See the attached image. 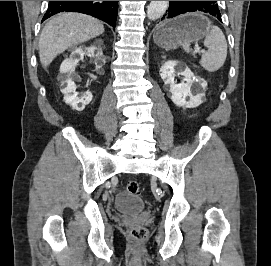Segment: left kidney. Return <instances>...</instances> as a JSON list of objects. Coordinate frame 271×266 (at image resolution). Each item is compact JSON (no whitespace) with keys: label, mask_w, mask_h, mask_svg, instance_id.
<instances>
[{"label":"left kidney","mask_w":271,"mask_h":266,"mask_svg":"<svg viewBox=\"0 0 271 266\" xmlns=\"http://www.w3.org/2000/svg\"><path fill=\"white\" fill-rule=\"evenodd\" d=\"M178 66V69L176 67ZM184 76L186 82L176 84L174 77L176 74ZM160 76L165 85H169L171 100L173 103L180 107L194 108L200 103V95H192L191 87L194 83V74L187 67H179L178 62L169 60L160 68ZM189 98V100H187Z\"/></svg>","instance_id":"left-kidney-1"}]
</instances>
